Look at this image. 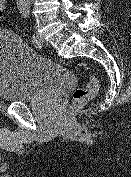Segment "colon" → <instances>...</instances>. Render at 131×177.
Wrapping results in <instances>:
<instances>
[{
  "label": "colon",
  "instance_id": "obj_1",
  "mask_svg": "<svg viewBox=\"0 0 131 177\" xmlns=\"http://www.w3.org/2000/svg\"><path fill=\"white\" fill-rule=\"evenodd\" d=\"M6 0H0V16L6 8ZM99 88L98 80L95 76L90 75L86 86L78 87L73 91V107L79 108L86 102L91 100L97 93Z\"/></svg>",
  "mask_w": 131,
  "mask_h": 177
}]
</instances>
